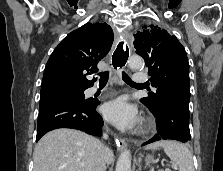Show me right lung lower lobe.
<instances>
[{
  "label": "right lung lower lobe",
  "instance_id": "1",
  "mask_svg": "<svg viewBox=\"0 0 223 171\" xmlns=\"http://www.w3.org/2000/svg\"><path fill=\"white\" fill-rule=\"evenodd\" d=\"M99 103L98 100L89 103L56 100L39 106L36 141L57 128H73L100 136L103 119L95 110Z\"/></svg>",
  "mask_w": 223,
  "mask_h": 171
}]
</instances>
